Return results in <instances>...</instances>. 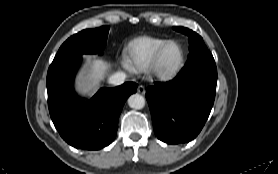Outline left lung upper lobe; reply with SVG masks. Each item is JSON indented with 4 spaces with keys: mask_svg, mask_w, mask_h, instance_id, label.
Here are the masks:
<instances>
[{
    "mask_svg": "<svg viewBox=\"0 0 278 174\" xmlns=\"http://www.w3.org/2000/svg\"><path fill=\"white\" fill-rule=\"evenodd\" d=\"M174 30L182 32L189 37V56L186 66L181 73L196 69H206L211 72H217L214 58L205 46L200 35L184 27H174Z\"/></svg>",
    "mask_w": 278,
    "mask_h": 174,
    "instance_id": "5c2ea615",
    "label": "left lung upper lobe"
}]
</instances>
